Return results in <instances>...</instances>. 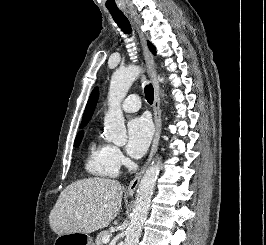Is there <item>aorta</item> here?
Listing matches in <instances>:
<instances>
[{
	"label": "aorta",
	"mask_w": 266,
	"mask_h": 245,
	"mask_svg": "<svg viewBox=\"0 0 266 245\" xmlns=\"http://www.w3.org/2000/svg\"><path fill=\"white\" fill-rule=\"evenodd\" d=\"M140 70L137 66H127L123 70L113 72L108 92V112L104 116L105 141H111L117 147L126 145L127 135L121 102L126 96L132 82ZM164 82V76L160 78ZM160 173L159 163H151L138 187L135 207L130 217L129 227L126 229L125 245H138L141 229L149 211L155 183Z\"/></svg>",
	"instance_id": "obj_1"
}]
</instances>
